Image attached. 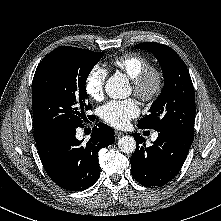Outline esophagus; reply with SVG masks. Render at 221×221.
Here are the masks:
<instances>
[{
    "label": "esophagus",
    "mask_w": 221,
    "mask_h": 221,
    "mask_svg": "<svg viewBox=\"0 0 221 221\" xmlns=\"http://www.w3.org/2000/svg\"><path fill=\"white\" fill-rule=\"evenodd\" d=\"M123 135H124L123 132H121V131H115V136H116V138H120V137H122Z\"/></svg>",
    "instance_id": "34e87169"
}]
</instances>
